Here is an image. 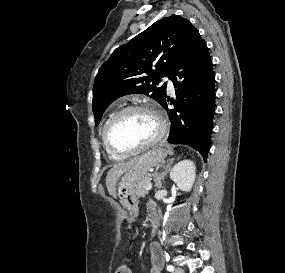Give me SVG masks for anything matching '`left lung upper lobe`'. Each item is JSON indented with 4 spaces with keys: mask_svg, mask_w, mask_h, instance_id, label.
Segmentation results:
<instances>
[{
    "mask_svg": "<svg viewBox=\"0 0 285 273\" xmlns=\"http://www.w3.org/2000/svg\"><path fill=\"white\" fill-rule=\"evenodd\" d=\"M196 28L178 15L153 23L127 44L118 47L103 64L93 86V113L98 125L105 109L117 98L145 94L158 103L166 98V85L158 86L182 58Z\"/></svg>",
    "mask_w": 285,
    "mask_h": 273,
    "instance_id": "5c2ea615",
    "label": "left lung upper lobe"
}]
</instances>
